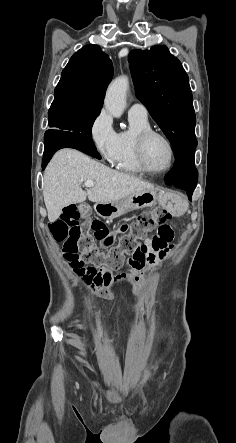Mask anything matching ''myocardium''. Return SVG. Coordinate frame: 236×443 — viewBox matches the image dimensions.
I'll list each match as a JSON object with an SVG mask.
<instances>
[{
	"mask_svg": "<svg viewBox=\"0 0 236 443\" xmlns=\"http://www.w3.org/2000/svg\"><path fill=\"white\" fill-rule=\"evenodd\" d=\"M154 136H158V137L162 138L167 143L169 150H170L169 164L164 169L158 170V171L153 170L148 166L147 161H146V157H145V149H146L147 142L149 141L150 138H152ZM135 156H136L137 164L143 172L150 174V175H162V174H165L168 171H170L174 165L175 148H174L173 142L165 133H163L162 131L156 130V129L147 128V129L140 131L135 138Z\"/></svg>",
	"mask_w": 236,
	"mask_h": 443,
	"instance_id": "1",
	"label": "myocardium"
}]
</instances>
